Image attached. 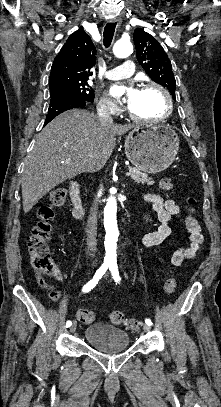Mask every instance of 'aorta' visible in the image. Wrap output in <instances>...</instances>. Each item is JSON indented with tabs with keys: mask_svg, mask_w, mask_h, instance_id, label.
Returning a JSON list of instances; mask_svg holds the SVG:
<instances>
[{
	"mask_svg": "<svg viewBox=\"0 0 221 407\" xmlns=\"http://www.w3.org/2000/svg\"><path fill=\"white\" fill-rule=\"evenodd\" d=\"M133 52V46L131 42L120 40L113 46V53L118 58H126ZM117 201L114 196H110L107 199L106 206L104 208V227L106 231L105 235V261H116V248L119 231L117 227Z\"/></svg>",
	"mask_w": 221,
	"mask_h": 407,
	"instance_id": "obj_1",
	"label": "aorta"
}]
</instances>
